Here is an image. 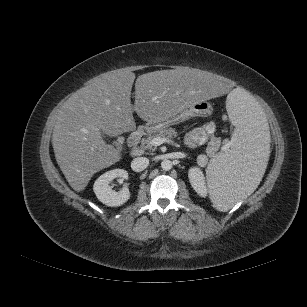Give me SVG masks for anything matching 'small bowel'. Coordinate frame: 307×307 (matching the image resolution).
Returning <instances> with one entry per match:
<instances>
[{
    "label": "small bowel",
    "instance_id": "1",
    "mask_svg": "<svg viewBox=\"0 0 307 307\" xmlns=\"http://www.w3.org/2000/svg\"><path fill=\"white\" fill-rule=\"evenodd\" d=\"M215 131L216 124L214 122H208L202 127L190 131L185 137V142L191 147L202 145Z\"/></svg>",
    "mask_w": 307,
    "mask_h": 307
}]
</instances>
